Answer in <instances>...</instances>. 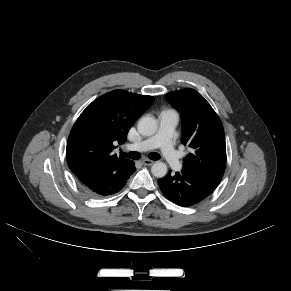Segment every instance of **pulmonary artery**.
Segmentation results:
<instances>
[{
  "label": "pulmonary artery",
  "mask_w": 291,
  "mask_h": 291,
  "mask_svg": "<svg viewBox=\"0 0 291 291\" xmlns=\"http://www.w3.org/2000/svg\"><path fill=\"white\" fill-rule=\"evenodd\" d=\"M178 123V115L172 110L163 111L159 115V129L155 135L141 142L129 145L133 151H148L160 148L169 166L175 171H181L182 164L177 151L172 144L173 133Z\"/></svg>",
  "instance_id": "pulmonary-artery-1"
}]
</instances>
